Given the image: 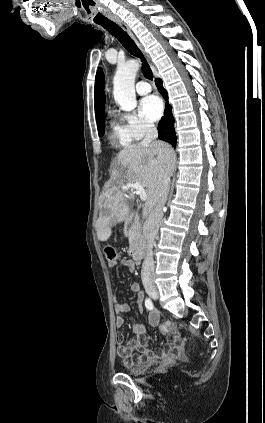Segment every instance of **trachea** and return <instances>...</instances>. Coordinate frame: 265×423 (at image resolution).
Masks as SVG:
<instances>
[{"label": "trachea", "instance_id": "3493384b", "mask_svg": "<svg viewBox=\"0 0 265 423\" xmlns=\"http://www.w3.org/2000/svg\"><path fill=\"white\" fill-rule=\"evenodd\" d=\"M99 24L108 32H110L114 37H116L130 54L141 59L142 71L144 76L147 79H153L152 70L150 69L145 57L143 56L135 42L129 37V35L111 20L100 22Z\"/></svg>", "mask_w": 265, "mask_h": 423}]
</instances>
